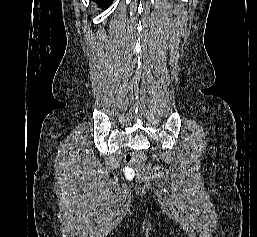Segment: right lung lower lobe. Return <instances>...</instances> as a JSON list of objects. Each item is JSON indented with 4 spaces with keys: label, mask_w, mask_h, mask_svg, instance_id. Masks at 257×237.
<instances>
[{
    "label": "right lung lower lobe",
    "mask_w": 257,
    "mask_h": 237,
    "mask_svg": "<svg viewBox=\"0 0 257 237\" xmlns=\"http://www.w3.org/2000/svg\"><path fill=\"white\" fill-rule=\"evenodd\" d=\"M98 4V6L108 7L113 0H92Z\"/></svg>",
    "instance_id": "1"
}]
</instances>
